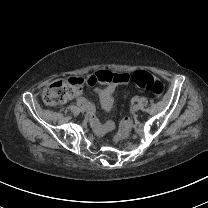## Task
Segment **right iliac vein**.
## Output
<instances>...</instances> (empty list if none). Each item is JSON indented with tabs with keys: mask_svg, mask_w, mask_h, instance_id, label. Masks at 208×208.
Here are the masks:
<instances>
[{
	"mask_svg": "<svg viewBox=\"0 0 208 208\" xmlns=\"http://www.w3.org/2000/svg\"><path fill=\"white\" fill-rule=\"evenodd\" d=\"M79 110H80L81 113H84L86 111V109L84 107H80Z\"/></svg>",
	"mask_w": 208,
	"mask_h": 208,
	"instance_id": "63e3f726",
	"label": "right iliac vein"
}]
</instances>
